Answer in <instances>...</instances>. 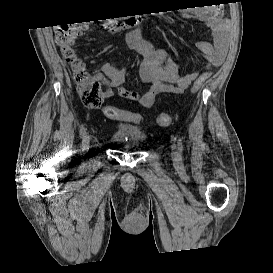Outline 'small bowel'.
I'll list each match as a JSON object with an SVG mask.
<instances>
[{"instance_id":"small-bowel-1","label":"small bowel","mask_w":273,"mask_h":273,"mask_svg":"<svg viewBox=\"0 0 273 273\" xmlns=\"http://www.w3.org/2000/svg\"><path fill=\"white\" fill-rule=\"evenodd\" d=\"M185 18H198L206 23L212 31V40H202L197 43L198 50L208 62L205 72L220 66L225 60L228 44L230 22L224 17L219 6H203L184 12ZM128 45L131 50L141 57L139 68L140 78L149 85L145 92L128 90L123 87L127 76L125 67H117L109 62L101 65V72L94 74V78L107 85L104 92L106 99L119 95L134 100L145 108H150L156 97L161 93H183L200 75V72H190L179 76L173 61L165 51L156 48L149 40L132 30L127 34ZM123 111V110H122ZM125 114L130 111H123ZM122 121H129L126 116Z\"/></svg>"}]
</instances>
